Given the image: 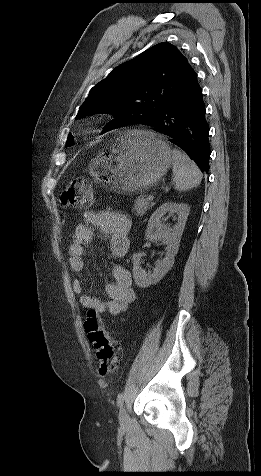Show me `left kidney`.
<instances>
[{
	"label": "left kidney",
	"mask_w": 261,
	"mask_h": 476,
	"mask_svg": "<svg viewBox=\"0 0 261 476\" xmlns=\"http://www.w3.org/2000/svg\"><path fill=\"white\" fill-rule=\"evenodd\" d=\"M190 207L183 203L167 202L162 204L152 214L148 221L145 232L146 240L161 241L166 247V255L162 260H158L155 264L153 272H146L141 267V254L133 255V278L137 286L146 288L151 284L159 282L174 264V257L178 252L179 243ZM177 214V223L172 227H167L161 223V218L165 214Z\"/></svg>",
	"instance_id": "1"
}]
</instances>
